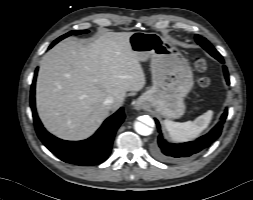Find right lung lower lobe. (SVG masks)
Returning <instances> with one entry per match:
<instances>
[{"instance_id": "98d812e1", "label": "right lung lower lobe", "mask_w": 253, "mask_h": 200, "mask_svg": "<svg viewBox=\"0 0 253 200\" xmlns=\"http://www.w3.org/2000/svg\"><path fill=\"white\" fill-rule=\"evenodd\" d=\"M54 41L51 45L54 46ZM37 70L31 85L30 104L33 112L35 129L43 144L58 158L67 163L77 165H96L102 163L109 155L115 133L124 121L125 114L120 108L115 114L107 118L98 131L83 141H65L48 133L38 118L35 108V82Z\"/></svg>"}]
</instances>
